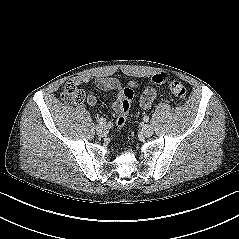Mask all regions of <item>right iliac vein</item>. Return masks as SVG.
<instances>
[{
    "mask_svg": "<svg viewBox=\"0 0 239 239\" xmlns=\"http://www.w3.org/2000/svg\"><path fill=\"white\" fill-rule=\"evenodd\" d=\"M96 132L99 136L103 137L108 133V127L105 124L98 125L96 127Z\"/></svg>",
    "mask_w": 239,
    "mask_h": 239,
    "instance_id": "63e3f726",
    "label": "right iliac vein"
}]
</instances>
